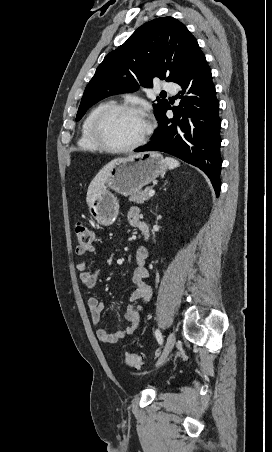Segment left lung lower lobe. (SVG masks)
<instances>
[{"label": "left lung lower lobe", "mask_w": 272, "mask_h": 452, "mask_svg": "<svg viewBox=\"0 0 272 452\" xmlns=\"http://www.w3.org/2000/svg\"><path fill=\"white\" fill-rule=\"evenodd\" d=\"M173 82L181 86L179 94L185 96H179V106H165L157 118L159 127L151 142L135 151H164L200 168L210 178L218 197L222 165L219 102L211 70L198 43ZM169 109L173 118L166 116Z\"/></svg>", "instance_id": "1"}]
</instances>
